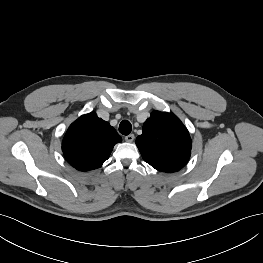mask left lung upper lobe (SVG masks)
<instances>
[{
  "instance_id": "1",
  "label": "left lung upper lobe",
  "mask_w": 263,
  "mask_h": 263,
  "mask_svg": "<svg viewBox=\"0 0 263 263\" xmlns=\"http://www.w3.org/2000/svg\"><path fill=\"white\" fill-rule=\"evenodd\" d=\"M136 145L144 161L163 172L180 170L190 158L189 132L172 113L153 111Z\"/></svg>"
}]
</instances>
